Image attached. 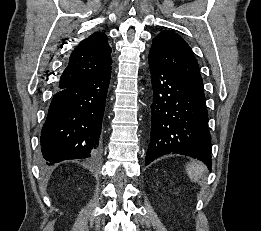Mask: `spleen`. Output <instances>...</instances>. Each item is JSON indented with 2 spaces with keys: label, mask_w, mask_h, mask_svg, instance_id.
<instances>
[{
  "label": "spleen",
  "mask_w": 261,
  "mask_h": 231,
  "mask_svg": "<svg viewBox=\"0 0 261 231\" xmlns=\"http://www.w3.org/2000/svg\"><path fill=\"white\" fill-rule=\"evenodd\" d=\"M205 170V165L201 162L196 161L191 162L186 167L188 176L193 182H198L202 178V175L205 172Z\"/></svg>",
  "instance_id": "spleen-1"
}]
</instances>
